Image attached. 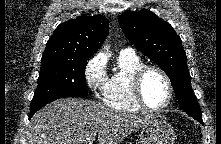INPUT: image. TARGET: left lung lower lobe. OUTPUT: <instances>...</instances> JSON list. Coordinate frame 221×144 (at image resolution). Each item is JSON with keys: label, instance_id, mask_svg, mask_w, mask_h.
Returning a JSON list of instances; mask_svg holds the SVG:
<instances>
[{"label": "left lung lower lobe", "instance_id": "obj_1", "mask_svg": "<svg viewBox=\"0 0 221 144\" xmlns=\"http://www.w3.org/2000/svg\"><path fill=\"white\" fill-rule=\"evenodd\" d=\"M192 117L196 119L197 121H199L201 124H203L202 117H196V116H192Z\"/></svg>", "mask_w": 221, "mask_h": 144}]
</instances>
